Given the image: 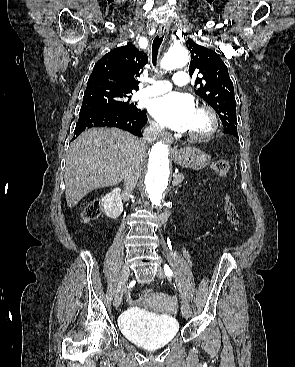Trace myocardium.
Segmentation results:
<instances>
[{
	"instance_id": "obj_1",
	"label": "myocardium",
	"mask_w": 295,
	"mask_h": 367,
	"mask_svg": "<svg viewBox=\"0 0 295 367\" xmlns=\"http://www.w3.org/2000/svg\"><path fill=\"white\" fill-rule=\"evenodd\" d=\"M197 112L204 114L208 119V128L200 133L188 131L187 136L193 141H206L214 136L219 127V119L216 112L207 105H201L197 108Z\"/></svg>"
}]
</instances>
